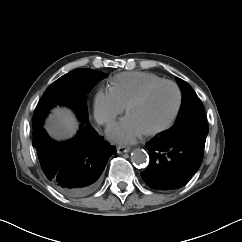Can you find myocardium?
<instances>
[{
    "label": "myocardium",
    "mask_w": 242,
    "mask_h": 242,
    "mask_svg": "<svg viewBox=\"0 0 242 242\" xmlns=\"http://www.w3.org/2000/svg\"><path fill=\"white\" fill-rule=\"evenodd\" d=\"M164 84L171 85L176 90L177 102H176L175 109H174L170 119L164 125L156 128V129L144 132L143 134L145 136H155V135L161 134V133L167 131L168 129H170L174 125V123H175V121H176V119H177V117L179 115V112H180V109H181V105H182V92H181L179 86L174 81L166 80V79H163V80H160L158 82L152 83L149 86H147L146 88H144L138 95H136L128 103V105L126 107L127 114L129 115L131 109L134 106H136L139 103L143 102L154 89H156L157 87H159L161 85H164Z\"/></svg>",
    "instance_id": "1"
}]
</instances>
